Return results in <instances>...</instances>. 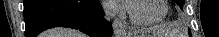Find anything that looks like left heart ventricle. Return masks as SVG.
Returning <instances> with one entry per match:
<instances>
[{
	"mask_svg": "<svg viewBox=\"0 0 219 37\" xmlns=\"http://www.w3.org/2000/svg\"><path fill=\"white\" fill-rule=\"evenodd\" d=\"M131 11L138 19H154L161 14L162 4L160 0L136 1L132 2Z\"/></svg>",
	"mask_w": 219,
	"mask_h": 37,
	"instance_id": "obj_1",
	"label": "left heart ventricle"
}]
</instances>
